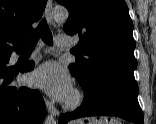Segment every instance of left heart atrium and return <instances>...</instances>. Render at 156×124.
I'll list each match as a JSON object with an SVG mask.
<instances>
[{"instance_id": "left-heart-atrium-1", "label": "left heart atrium", "mask_w": 156, "mask_h": 124, "mask_svg": "<svg viewBox=\"0 0 156 124\" xmlns=\"http://www.w3.org/2000/svg\"><path fill=\"white\" fill-rule=\"evenodd\" d=\"M33 85L43 89L56 100H67L72 93L69 74L59 64L48 61L37 67L31 75Z\"/></svg>"}]
</instances>
